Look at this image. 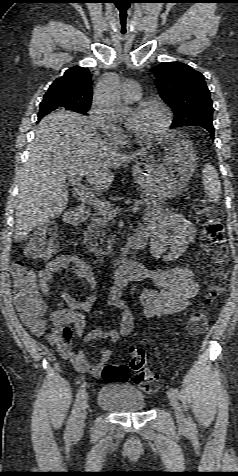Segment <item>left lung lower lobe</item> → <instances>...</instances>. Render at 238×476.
I'll return each mask as SVG.
<instances>
[{
	"instance_id": "obj_1",
	"label": "left lung lower lobe",
	"mask_w": 238,
	"mask_h": 476,
	"mask_svg": "<svg viewBox=\"0 0 238 476\" xmlns=\"http://www.w3.org/2000/svg\"><path fill=\"white\" fill-rule=\"evenodd\" d=\"M203 128H205L206 130H208V132H210V135H211V138L213 139L214 138V127H209V126H201Z\"/></svg>"
}]
</instances>
